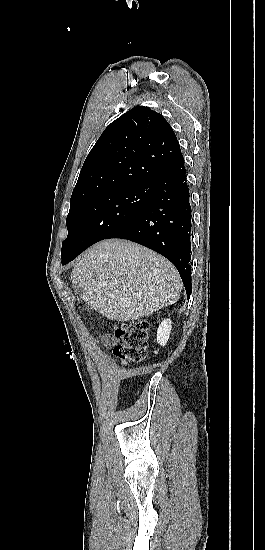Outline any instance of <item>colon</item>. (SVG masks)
<instances>
[{"label":"colon","mask_w":265,"mask_h":550,"mask_svg":"<svg viewBox=\"0 0 265 550\" xmlns=\"http://www.w3.org/2000/svg\"><path fill=\"white\" fill-rule=\"evenodd\" d=\"M148 329L149 323L141 319L115 325L113 333L121 343L114 347L113 353L123 363L143 361L147 356Z\"/></svg>","instance_id":"5ec220e1"}]
</instances>
